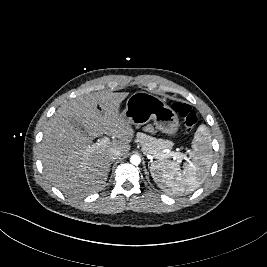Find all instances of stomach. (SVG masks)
Wrapping results in <instances>:
<instances>
[{
  "label": "stomach",
  "mask_w": 267,
  "mask_h": 267,
  "mask_svg": "<svg viewBox=\"0 0 267 267\" xmlns=\"http://www.w3.org/2000/svg\"><path fill=\"white\" fill-rule=\"evenodd\" d=\"M121 115L137 126L152 120L156 129L167 135H174L179 126L177 114L161 98L144 91L128 98Z\"/></svg>",
  "instance_id": "stomach-1"
}]
</instances>
